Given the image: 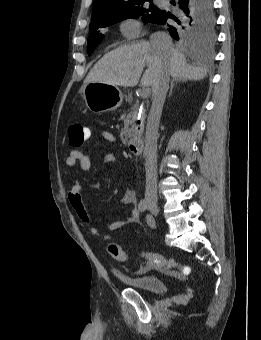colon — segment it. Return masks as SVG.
<instances>
[{
	"instance_id": "5ec220e1",
	"label": "colon",
	"mask_w": 261,
	"mask_h": 340,
	"mask_svg": "<svg viewBox=\"0 0 261 340\" xmlns=\"http://www.w3.org/2000/svg\"><path fill=\"white\" fill-rule=\"evenodd\" d=\"M69 144L73 147H79L86 141V127L79 122H73L68 127ZM109 253L112 258L119 262H126L127 255L124 250L117 244L109 246ZM142 257L145 261V267L155 268L167 273L177 275L179 277H188L192 273V269L185 264L167 258L160 254L143 252Z\"/></svg>"
}]
</instances>
